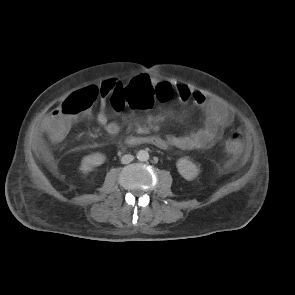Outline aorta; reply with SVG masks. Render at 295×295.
<instances>
[{
	"mask_svg": "<svg viewBox=\"0 0 295 295\" xmlns=\"http://www.w3.org/2000/svg\"><path fill=\"white\" fill-rule=\"evenodd\" d=\"M137 159L139 161H147L149 159V153L146 150H140L137 153Z\"/></svg>",
	"mask_w": 295,
	"mask_h": 295,
	"instance_id": "aorta-1",
	"label": "aorta"
}]
</instances>
